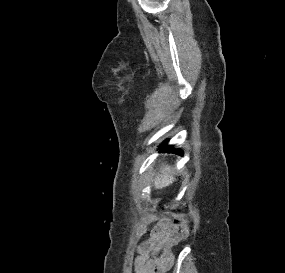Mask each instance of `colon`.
Instances as JSON below:
<instances>
[{
    "instance_id": "colon-1",
    "label": "colon",
    "mask_w": 285,
    "mask_h": 273,
    "mask_svg": "<svg viewBox=\"0 0 285 273\" xmlns=\"http://www.w3.org/2000/svg\"><path fill=\"white\" fill-rule=\"evenodd\" d=\"M173 224L177 230H179L182 237H187L189 234V220L188 217L183 214L176 212L174 214Z\"/></svg>"
}]
</instances>
